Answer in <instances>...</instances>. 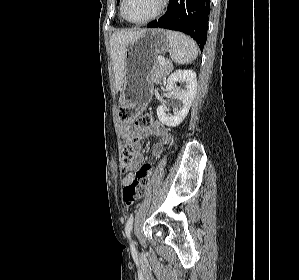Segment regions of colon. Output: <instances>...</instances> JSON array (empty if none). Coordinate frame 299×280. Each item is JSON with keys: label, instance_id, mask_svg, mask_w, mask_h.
I'll return each instance as SVG.
<instances>
[{"label": "colon", "instance_id": "5ec220e1", "mask_svg": "<svg viewBox=\"0 0 299 280\" xmlns=\"http://www.w3.org/2000/svg\"><path fill=\"white\" fill-rule=\"evenodd\" d=\"M152 119L153 118L150 115H143L138 118L135 125L132 126L133 133H146L145 127L151 123ZM134 142L135 140L133 138H128L125 142L122 151L124 164L130 162L133 157ZM151 172V163L145 162L138 167L135 179L126 184L123 189V200L126 205L130 206L141 200L145 194Z\"/></svg>", "mask_w": 299, "mask_h": 280}]
</instances>
